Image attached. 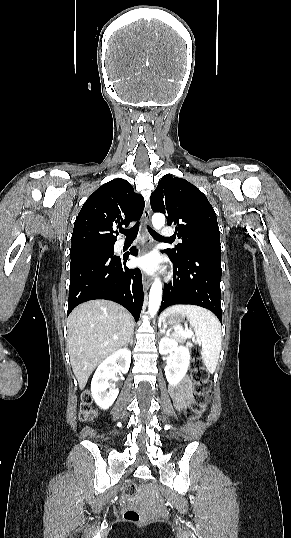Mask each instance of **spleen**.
<instances>
[{
  "mask_svg": "<svg viewBox=\"0 0 291 538\" xmlns=\"http://www.w3.org/2000/svg\"><path fill=\"white\" fill-rule=\"evenodd\" d=\"M181 314L186 316L190 326L194 328L196 340L202 346V359L210 373H214L221 351V325L212 312L193 305H174L164 310L160 319Z\"/></svg>",
  "mask_w": 291,
  "mask_h": 538,
  "instance_id": "1",
  "label": "spleen"
}]
</instances>
